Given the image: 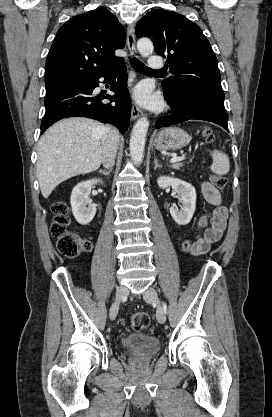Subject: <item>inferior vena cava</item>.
I'll return each instance as SVG.
<instances>
[{"instance_id": "obj_1", "label": "inferior vena cava", "mask_w": 272, "mask_h": 417, "mask_svg": "<svg viewBox=\"0 0 272 417\" xmlns=\"http://www.w3.org/2000/svg\"><path fill=\"white\" fill-rule=\"evenodd\" d=\"M119 137V131L116 128L111 126L104 128L102 163L105 168L110 169L115 163Z\"/></svg>"}]
</instances>
